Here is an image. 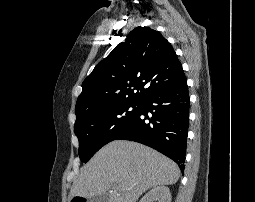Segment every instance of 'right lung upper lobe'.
Wrapping results in <instances>:
<instances>
[{
	"instance_id": "cb5924a9",
	"label": "right lung upper lobe",
	"mask_w": 255,
	"mask_h": 202,
	"mask_svg": "<svg viewBox=\"0 0 255 202\" xmlns=\"http://www.w3.org/2000/svg\"><path fill=\"white\" fill-rule=\"evenodd\" d=\"M184 80L182 65L171 44L158 31L137 27L82 83L76 120L109 105L141 103Z\"/></svg>"
}]
</instances>
